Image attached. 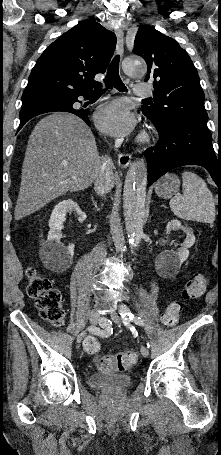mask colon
<instances>
[{
  "mask_svg": "<svg viewBox=\"0 0 221 455\" xmlns=\"http://www.w3.org/2000/svg\"><path fill=\"white\" fill-rule=\"evenodd\" d=\"M28 279L27 294L35 299L36 307L44 320L55 327L64 323L65 311L62 306L61 295L52 287L48 278L38 273L35 268L26 271ZM206 279L198 275L189 280L183 287L181 299L171 301L163 315L162 323L166 327H174L183 310V300L195 299L202 296L206 290ZM84 349L90 355H96L100 350V344L94 337H87L84 341ZM138 355L134 351L121 352L114 355L98 357L96 367L105 373L122 372L136 365Z\"/></svg>",
  "mask_w": 221,
  "mask_h": 455,
  "instance_id": "colon-1",
  "label": "colon"
}]
</instances>
